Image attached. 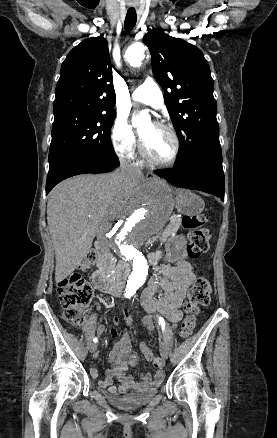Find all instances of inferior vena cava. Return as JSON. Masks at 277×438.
<instances>
[{
    "label": "inferior vena cava",
    "mask_w": 277,
    "mask_h": 438,
    "mask_svg": "<svg viewBox=\"0 0 277 438\" xmlns=\"http://www.w3.org/2000/svg\"><path fill=\"white\" fill-rule=\"evenodd\" d=\"M119 162V172L121 176H124L125 180H131L133 176H141L140 168H136V166H133V164H131V162H128V160H125V158H119Z\"/></svg>",
    "instance_id": "inferior-vena-cava-1"
}]
</instances>
